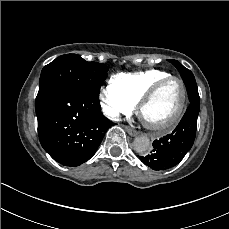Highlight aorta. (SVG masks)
<instances>
[{
  "mask_svg": "<svg viewBox=\"0 0 229 229\" xmlns=\"http://www.w3.org/2000/svg\"><path fill=\"white\" fill-rule=\"evenodd\" d=\"M133 146L137 153L144 154L150 148V140L146 136H138L134 139Z\"/></svg>",
  "mask_w": 229,
  "mask_h": 229,
  "instance_id": "obj_1",
  "label": "aorta"
}]
</instances>
